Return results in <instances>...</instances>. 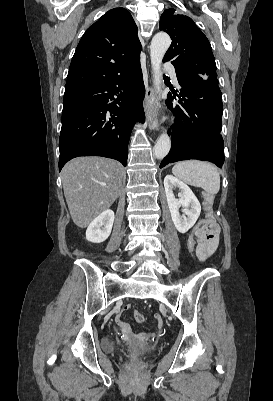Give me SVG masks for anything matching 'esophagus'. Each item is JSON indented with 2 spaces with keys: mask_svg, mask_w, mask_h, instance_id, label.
Here are the masks:
<instances>
[{
  "mask_svg": "<svg viewBox=\"0 0 273 401\" xmlns=\"http://www.w3.org/2000/svg\"><path fill=\"white\" fill-rule=\"evenodd\" d=\"M151 81L152 78L150 79V82ZM153 97H154V87L152 84H149L144 98V111L148 122V127L150 128V130L159 131L157 107L152 106L151 104L153 101Z\"/></svg>",
  "mask_w": 273,
  "mask_h": 401,
  "instance_id": "obj_1",
  "label": "esophagus"
}]
</instances>
